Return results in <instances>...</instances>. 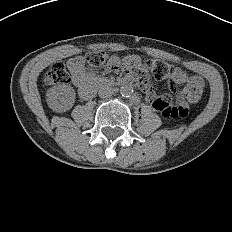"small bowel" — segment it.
Returning <instances> with one entry per match:
<instances>
[{
  "mask_svg": "<svg viewBox=\"0 0 232 232\" xmlns=\"http://www.w3.org/2000/svg\"><path fill=\"white\" fill-rule=\"evenodd\" d=\"M68 67L72 74V79L75 87L81 92L87 84L93 79V74L87 72L79 58H72L68 61ZM147 62L137 54H130L129 56L117 55L108 59L104 63V70L108 74H115L117 77L134 76L136 84L139 88L146 92L147 98L152 106L163 113L164 109L170 103V97H157L153 91L148 87L150 84L146 73ZM171 86L188 83V85H195L200 88L204 87V80L198 75H190L181 68H175L174 73L170 76ZM81 95V94H80ZM177 100L179 103H184L182 92L177 93ZM160 102V105L156 103Z\"/></svg>",
  "mask_w": 232,
  "mask_h": 232,
  "instance_id": "1",
  "label": "small bowel"
}]
</instances>
